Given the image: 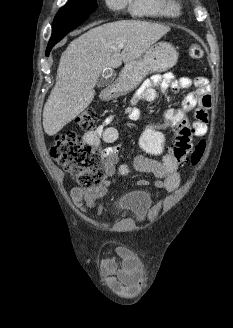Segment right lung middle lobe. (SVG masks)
<instances>
[{
	"instance_id": "dd1d6c3e",
	"label": "right lung middle lobe",
	"mask_w": 233,
	"mask_h": 328,
	"mask_svg": "<svg viewBox=\"0 0 233 328\" xmlns=\"http://www.w3.org/2000/svg\"><path fill=\"white\" fill-rule=\"evenodd\" d=\"M97 6L96 0H69L57 13L54 21L70 19L86 20Z\"/></svg>"
}]
</instances>
